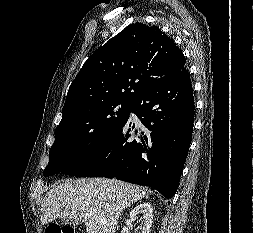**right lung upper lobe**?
<instances>
[{"instance_id":"1","label":"right lung upper lobe","mask_w":253,"mask_h":233,"mask_svg":"<svg viewBox=\"0 0 253 233\" xmlns=\"http://www.w3.org/2000/svg\"><path fill=\"white\" fill-rule=\"evenodd\" d=\"M184 65L183 53L159 27L131 24L84 63L69 87L62 117L100 101H134Z\"/></svg>"}]
</instances>
